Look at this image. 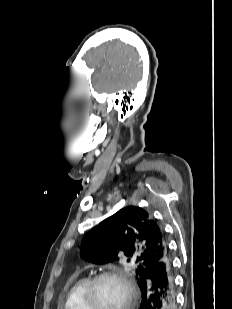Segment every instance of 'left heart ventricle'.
Segmentation results:
<instances>
[{"instance_id":"left-heart-ventricle-1","label":"left heart ventricle","mask_w":232,"mask_h":309,"mask_svg":"<svg viewBox=\"0 0 232 309\" xmlns=\"http://www.w3.org/2000/svg\"><path fill=\"white\" fill-rule=\"evenodd\" d=\"M97 309H120L125 301L124 286L116 279L107 278L97 284Z\"/></svg>"}]
</instances>
